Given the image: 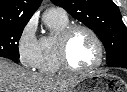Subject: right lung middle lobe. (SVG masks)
<instances>
[{"label": "right lung middle lobe", "instance_id": "obj_1", "mask_svg": "<svg viewBox=\"0 0 127 92\" xmlns=\"http://www.w3.org/2000/svg\"><path fill=\"white\" fill-rule=\"evenodd\" d=\"M25 26L0 27V57L18 60V43Z\"/></svg>", "mask_w": 127, "mask_h": 92}]
</instances>
